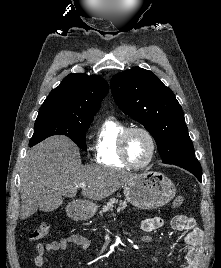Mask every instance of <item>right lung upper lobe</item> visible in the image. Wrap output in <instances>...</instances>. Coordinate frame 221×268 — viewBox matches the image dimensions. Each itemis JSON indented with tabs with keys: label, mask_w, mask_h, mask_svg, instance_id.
Segmentation results:
<instances>
[{
	"label": "right lung upper lobe",
	"mask_w": 221,
	"mask_h": 268,
	"mask_svg": "<svg viewBox=\"0 0 221 268\" xmlns=\"http://www.w3.org/2000/svg\"><path fill=\"white\" fill-rule=\"evenodd\" d=\"M108 91V84L103 78L72 73L49 93L39 112H64L83 118H94Z\"/></svg>",
	"instance_id": "cb5924a9"
}]
</instances>
